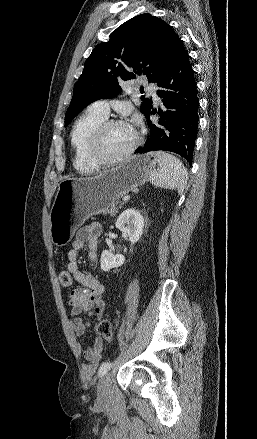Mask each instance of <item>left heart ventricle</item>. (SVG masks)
<instances>
[{
    "label": "left heart ventricle",
    "instance_id": "b2bd125f",
    "mask_svg": "<svg viewBox=\"0 0 257 439\" xmlns=\"http://www.w3.org/2000/svg\"><path fill=\"white\" fill-rule=\"evenodd\" d=\"M136 130L130 124L110 127L103 138L102 152L105 157H114L126 150L135 140Z\"/></svg>",
    "mask_w": 257,
    "mask_h": 439
}]
</instances>
